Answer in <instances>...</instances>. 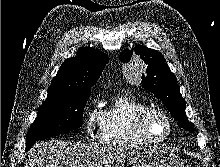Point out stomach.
<instances>
[{
	"mask_svg": "<svg viewBox=\"0 0 220 167\" xmlns=\"http://www.w3.org/2000/svg\"><path fill=\"white\" fill-rule=\"evenodd\" d=\"M115 167H185L182 160L159 148L129 147Z\"/></svg>",
	"mask_w": 220,
	"mask_h": 167,
	"instance_id": "1",
	"label": "stomach"
}]
</instances>
